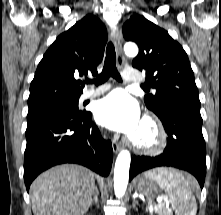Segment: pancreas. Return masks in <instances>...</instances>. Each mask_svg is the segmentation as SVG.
Segmentation results:
<instances>
[{
	"label": "pancreas",
	"instance_id": "cf45deb5",
	"mask_svg": "<svg viewBox=\"0 0 221 215\" xmlns=\"http://www.w3.org/2000/svg\"><path fill=\"white\" fill-rule=\"evenodd\" d=\"M155 212L158 215H172V212L170 210L164 209V204H161L160 207L155 208Z\"/></svg>",
	"mask_w": 221,
	"mask_h": 215
}]
</instances>
